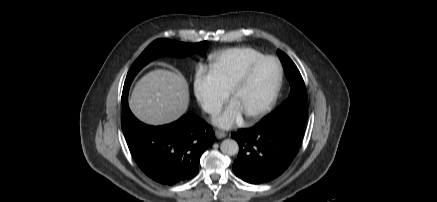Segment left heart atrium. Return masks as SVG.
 Instances as JSON below:
<instances>
[{
    "instance_id": "obj_1",
    "label": "left heart atrium",
    "mask_w": 437,
    "mask_h": 202,
    "mask_svg": "<svg viewBox=\"0 0 437 202\" xmlns=\"http://www.w3.org/2000/svg\"><path fill=\"white\" fill-rule=\"evenodd\" d=\"M244 117L243 111L239 104L232 100L219 114H217L213 122L224 129H229L236 124L242 122Z\"/></svg>"
}]
</instances>
